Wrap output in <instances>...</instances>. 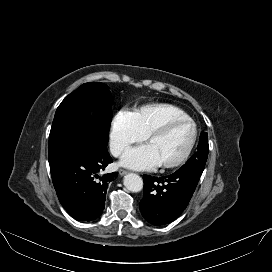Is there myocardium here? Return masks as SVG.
Instances as JSON below:
<instances>
[{
	"instance_id": "obj_1",
	"label": "myocardium",
	"mask_w": 272,
	"mask_h": 272,
	"mask_svg": "<svg viewBox=\"0 0 272 272\" xmlns=\"http://www.w3.org/2000/svg\"><path fill=\"white\" fill-rule=\"evenodd\" d=\"M184 123L191 125V127L193 129V135H192L191 142H190L187 150L185 151V153L179 159H177L176 161L171 162V163H160L159 166L163 169H174V168L182 166L183 164H185L188 161V159L190 158V156L195 148L197 138H198V128H197L196 123L190 117L189 118L172 119V120H169V121L161 124L160 126L154 128L145 136V140H146V142H148L149 140H151L154 137H157V136L167 133L170 129H172L176 125L184 124Z\"/></svg>"
}]
</instances>
